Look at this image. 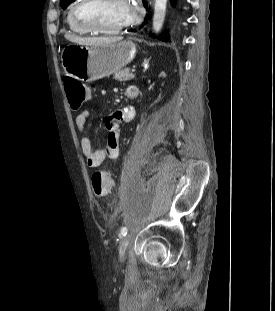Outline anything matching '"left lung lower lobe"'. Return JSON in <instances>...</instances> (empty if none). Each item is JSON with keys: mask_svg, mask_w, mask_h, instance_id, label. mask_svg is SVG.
<instances>
[{"mask_svg": "<svg viewBox=\"0 0 275 311\" xmlns=\"http://www.w3.org/2000/svg\"><path fill=\"white\" fill-rule=\"evenodd\" d=\"M172 1L174 2L175 0H172ZM143 4H144V7L146 8L147 7V3H146L145 0H143ZM145 23H147V22H145ZM151 36L154 37V35H151ZM158 39H160L162 41H170L168 34H162L161 36L158 37Z\"/></svg>", "mask_w": 275, "mask_h": 311, "instance_id": "0a47b994", "label": "left lung lower lobe"}]
</instances>
